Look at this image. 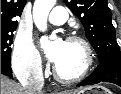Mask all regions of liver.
Returning <instances> with one entry per match:
<instances>
[{"label": "liver", "mask_w": 121, "mask_h": 94, "mask_svg": "<svg viewBox=\"0 0 121 94\" xmlns=\"http://www.w3.org/2000/svg\"><path fill=\"white\" fill-rule=\"evenodd\" d=\"M74 91L55 92L54 94H74ZM1 94H28L23 86L1 75ZM42 94V93H40Z\"/></svg>", "instance_id": "liver-1"}]
</instances>
